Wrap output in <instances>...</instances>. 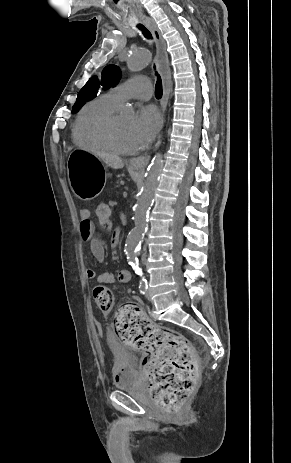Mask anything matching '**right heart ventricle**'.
<instances>
[{
  "mask_svg": "<svg viewBox=\"0 0 291 463\" xmlns=\"http://www.w3.org/2000/svg\"><path fill=\"white\" fill-rule=\"evenodd\" d=\"M118 106L110 92L85 104L72 127L74 143L88 150H110L99 135V129Z\"/></svg>",
  "mask_w": 291,
  "mask_h": 463,
  "instance_id": "right-heart-ventricle-1",
  "label": "right heart ventricle"
}]
</instances>
